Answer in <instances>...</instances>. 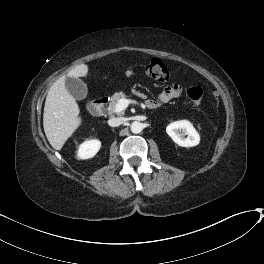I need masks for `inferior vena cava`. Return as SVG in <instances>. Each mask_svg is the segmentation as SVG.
Returning <instances> with one entry per match:
<instances>
[{
  "mask_svg": "<svg viewBox=\"0 0 264 264\" xmlns=\"http://www.w3.org/2000/svg\"><path fill=\"white\" fill-rule=\"evenodd\" d=\"M125 122L123 117L113 118L109 120V125L112 127L120 126Z\"/></svg>",
  "mask_w": 264,
  "mask_h": 264,
  "instance_id": "1",
  "label": "inferior vena cava"
}]
</instances>
